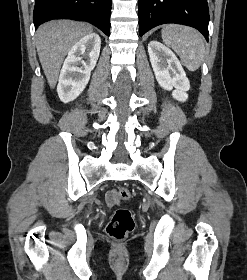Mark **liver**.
I'll return each instance as SVG.
<instances>
[{
    "mask_svg": "<svg viewBox=\"0 0 247 280\" xmlns=\"http://www.w3.org/2000/svg\"><path fill=\"white\" fill-rule=\"evenodd\" d=\"M92 32L87 23L71 20L50 21L36 32V47L40 63L51 88L56 86L59 71L69 50Z\"/></svg>",
    "mask_w": 247,
    "mask_h": 280,
    "instance_id": "6515ba94",
    "label": "liver"
}]
</instances>
